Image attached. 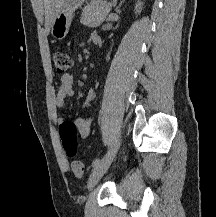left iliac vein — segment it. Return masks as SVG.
I'll use <instances>...</instances> for the list:
<instances>
[{
  "label": "left iliac vein",
  "instance_id": "left-iliac-vein-1",
  "mask_svg": "<svg viewBox=\"0 0 216 217\" xmlns=\"http://www.w3.org/2000/svg\"><path fill=\"white\" fill-rule=\"evenodd\" d=\"M119 142L113 145L111 150L108 152L106 157L102 160V162L93 168L90 177L88 179V188L92 189L102 178V176L106 173L107 169L109 168L118 148Z\"/></svg>",
  "mask_w": 216,
  "mask_h": 217
}]
</instances>
